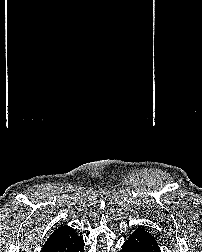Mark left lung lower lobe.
I'll return each instance as SVG.
<instances>
[{
	"label": "left lung lower lobe",
	"instance_id": "0a47b994",
	"mask_svg": "<svg viewBox=\"0 0 202 252\" xmlns=\"http://www.w3.org/2000/svg\"><path fill=\"white\" fill-rule=\"evenodd\" d=\"M121 252H161L156 239L144 228H139L126 240Z\"/></svg>",
	"mask_w": 202,
	"mask_h": 252
}]
</instances>
